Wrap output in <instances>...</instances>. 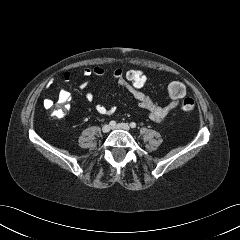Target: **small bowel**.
Instances as JSON below:
<instances>
[{"mask_svg": "<svg viewBox=\"0 0 240 240\" xmlns=\"http://www.w3.org/2000/svg\"><path fill=\"white\" fill-rule=\"evenodd\" d=\"M105 73V70L102 66L97 65L92 68L83 67L80 69V74L85 78L83 82L80 83L79 88L81 90H86L90 84L91 78L99 79ZM113 80L120 86L122 89L137 103V105L148 112L150 120L161 123L165 121L168 114L176 109L179 105V99H170V101L165 105H158L152 101L147 95L142 91L136 90L131 87L125 78V71L116 67L112 72ZM62 96L65 98L66 103L70 101V94L66 91L62 92ZM85 98L87 101L91 102L94 100V94L92 91L88 90L85 93ZM45 108H51L53 105L52 100L45 99L44 102ZM95 110L101 115H112L116 111L115 106L106 107L102 104H96Z\"/></svg>", "mask_w": 240, "mask_h": 240, "instance_id": "obj_1", "label": "small bowel"}]
</instances>
